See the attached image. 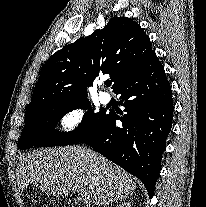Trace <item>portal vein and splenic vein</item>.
<instances>
[{
    "label": "portal vein and splenic vein",
    "mask_w": 206,
    "mask_h": 207,
    "mask_svg": "<svg viewBox=\"0 0 206 207\" xmlns=\"http://www.w3.org/2000/svg\"><path fill=\"white\" fill-rule=\"evenodd\" d=\"M69 187L73 190V191H77V192H79V199L80 200H83L84 202H88V200H87V196H86V194L83 192V190L80 188V186H78V185H69Z\"/></svg>",
    "instance_id": "obj_1"
}]
</instances>
